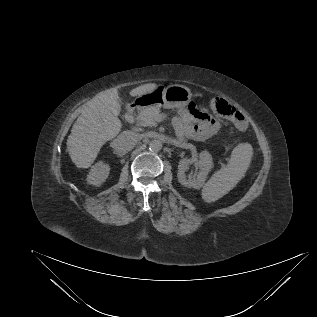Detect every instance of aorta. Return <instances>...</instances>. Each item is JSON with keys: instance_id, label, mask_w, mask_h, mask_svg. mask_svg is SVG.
Segmentation results:
<instances>
[{"instance_id": "762f6f07", "label": "aorta", "mask_w": 317, "mask_h": 317, "mask_svg": "<svg viewBox=\"0 0 317 317\" xmlns=\"http://www.w3.org/2000/svg\"><path fill=\"white\" fill-rule=\"evenodd\" d=\"M149 149L152 152H159L162 149V142L158 139H153L149 142Z\"/></svg>"}]
</instances>
